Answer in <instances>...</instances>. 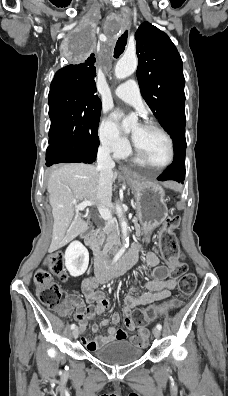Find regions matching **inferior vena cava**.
<instances>
[{"label": "inferior vena cava", "instance_id": "obj_1", "mask_svg": "<svg viewBox=\"0 0 228 396\" xmlns=\"http://www.w3.org/2000/svg\"><path fill=\"white\" fill-rule=\"evenodd\" d=\"M97 164V169L100 172L97 197L101 204H105L111 197L112 169L115 167V163L110 155V150L106 145H102L98 150Z\"/></svg>", "mask_w": 228, "mask_h": 396}]
</instances>
